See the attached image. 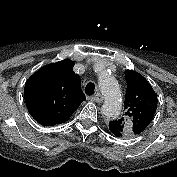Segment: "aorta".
<instances>
[{"mask_svg":"<svg viewBox=\"0 0 177 177\" xmlns=\"http://www.w3.org/2000/svg\"><path fill=\"white\" fill-rule=\"evenodd\" d=\"M100 90L105 98L101 107L103 116L107 119H116L120 115L121 93L117 81L106 72H101L98 79Z\"/></svg>","mask_w":177,"mask_h":177,"instance_id":"obj_1","label":"aorta"}]
</instances>
